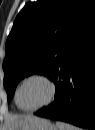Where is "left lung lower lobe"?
I'll list each match as a JSON object with an SVG mask.
<instances>
[{"instance_id": "0a47b994", "label": "left lung lower lobe", "mask_w": 95, "mask_h": 130, "mask_svg": "<svg viewBox=\"0 0 95 130\" xmlns=\"http://www.w3.org/2000/svg\"><path fill=\"white\" fill-rule=\"evenodd\" d=\"M52 81L56 84L55 100L36 115L95 128V13L79 25Z\"/></svg>"}]
</instances>
